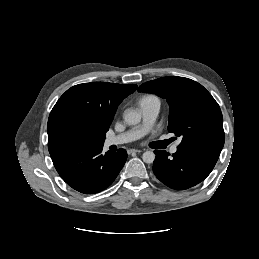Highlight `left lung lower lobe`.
Wrapping results in <instances>:
<instances>
[{
    "label": "left lung lower lobe",
    "instance_id": "0a47b994",
    "mask_svg": "<svg viewBox=\"0 0 259 259\" xmlns=\"http://www.w3.org/2000/svg\"><path fill=\"white\" fill-rule=\"evenodd\" d=\"M222 148L209 145H196L178 148L169 153L155 150L153 172L170 188L185 190L203 181L214 168Z\"/></svg>",
    "mask_w": 259,
    "mask_h": 259
}]
</instances>
